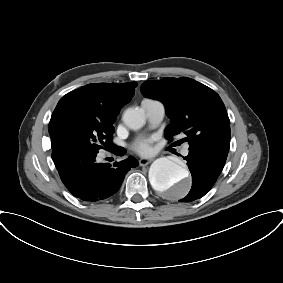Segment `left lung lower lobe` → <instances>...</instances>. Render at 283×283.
Returning a JSON list of instances; mask_svg holds the SVG:
<instances>
[{
	"instance_id": "obj_1",
	"label": "left lung lower lobe",
	"mask_w": 283,
	"mask_h": 283,
	"mask_svg": "<svg viewBox=\"0 0 283 283\" xmlns=\"http://www.w3.org/2000/svg\"><path fill=\"white\" fill-rule=\"evenodd\" d=\"M192 174V188L181 202H190L204 196L214 185L224 166L209 164L202 158L188 154L185 157Z\"/></svg>"
}]
</instances>
